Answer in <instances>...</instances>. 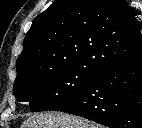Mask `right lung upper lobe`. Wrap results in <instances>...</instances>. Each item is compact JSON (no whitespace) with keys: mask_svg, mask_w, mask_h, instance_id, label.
Returning <instances> with one entry per match:
<instances>
[{"mask_svg":"<svg viewBox=\"0 0 142 128\" xmlns=\"http://www.w3.org/2000/svg\"><path fill=\"white\" fill-rule=\"evenodd\" d=\"M141 54L140 32L125 0H56L34 19L16 79L73 65L97 75Z\"/></svg>","mask_w":142,"mask_h":128,"instance_id":"obj_1","label":"right lung upper lobe"}]
</instances>
